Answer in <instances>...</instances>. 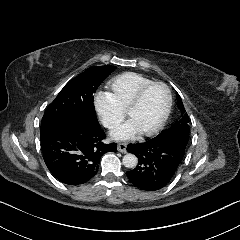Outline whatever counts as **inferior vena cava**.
Wrapping results in <instances>:
<instances>
[{
	"label": "inferior vena cava",
	"mask_w": 240,
	"mask_h": 240,
	"mask_svg": "<svg viewBox=\"0 0 240 240\" xmlns=\"http://www.w3.org/2000/svg\"><path fill=\"white\" fill-rule=\"evenodd\" d=\"M104 126L107 127V128H112L114 126V123H112L110 121H105Z\"/></svg>",
	"instance_id": "1"
}]
</instances>
